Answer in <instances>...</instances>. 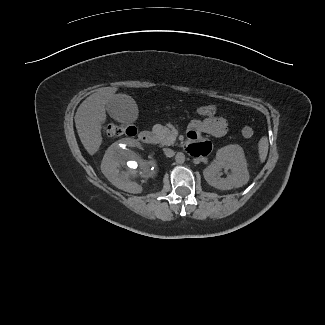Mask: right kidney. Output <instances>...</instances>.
Wrapping results in <instances>:
<instances>
[{
    "label": "right kidney",
    "mask_w": 325,
    "mask_h": 325,
    "mask_svg": "<svg viewBox=\"0 0 325 325\" xmlns=\"http://www.w3.org/2000/svg\"><path fill=\"white\" fill-rule=\"evenodd\" d=\"M101 171L114 186L129 193H141L156 176L155 162L146 159L141 144L130 138L107 149Z\"/></svg>",
    "instance_id": "right-kidney-1"
}]
</instances>
